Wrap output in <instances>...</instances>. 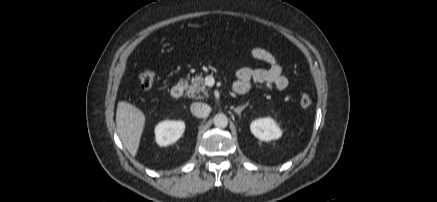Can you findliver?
Instances as JSON below:
<instances>
[{"instance_id":"1","label":"liver","mask_w":437,"mask_h":202,"mask_svg":"<svg viewBox=\"0 0 437 202\" xmlns=\"http://www.w3.org/2000/svg\"><path fill=\"white\" fill-rule=\"evenodd\" d=\"M145 121L146 117L139 108L128 102H118L116 111L118 136L133 157L137 154Z\"/></svg>"}]
</instances>
